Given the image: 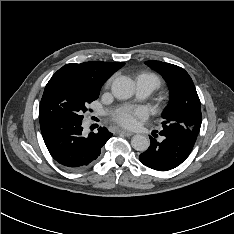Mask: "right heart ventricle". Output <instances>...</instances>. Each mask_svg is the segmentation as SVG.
I'll return each instance as SVG.
<instances>
[{
    "label": "right heart ventricle",
    "instance_id": "1",
    "mask_svg": "<svg viewBox=\"0 0 234 234\" xmlns=\"http://www.w3.org/2000/svg\"><path fill=\"white\" fill-rule=\"evenodd\" d=\"M141 78H145V79H148V80L152 81V83L154 84L155 89L158 88L160 86V84H161L160 78L156 74H153V73H150V72H144V73L140 74L138 76V80L141 79Z\"/></svg>",
    "mask_w": 234,
    "mask_h": 234
}]
</instances>
